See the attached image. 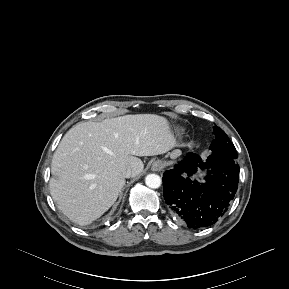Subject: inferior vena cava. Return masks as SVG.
<instances>
[{
    "label": "inferior vena cava",
    "mask_w": 289,
    "mask_h": 289,
    "mask_svg": "<svg viewBox=\"0 0 289 289\" xmlns=\"http://www.w3.org/2000/svg\"><path fill=\"white\" fill-rule=\"evenodd\" d=\"M131 175H132L131 169H126V170H124V171L122 172V176H123L124 178H129V177H131Z\"/></svg>",
    "instance_id": "602c4592"
}]
</instances>
